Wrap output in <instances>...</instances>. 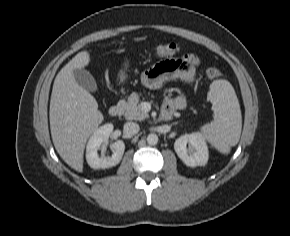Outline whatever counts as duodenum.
<instances>
[{
  "label": "duodenum",
  "mask_w": 290,
  "mask_h": 236,
  "mask_svg": "<svg viewBox=\"0 0 290 236\" xmlns=\"http://www.w3.org/2000/svg\"><path fill=\"white\" fill-rule=\"evenodd\" d=\"M122 113H123V107L120 104L112 105L109 108V114L112 117H118ZM172 113H173V111H166V112L162 113V118L165 119V120H168V119H170L172 117Z\"/></svg>",
  "instance_id": "obj_1"
}]
</instances>
